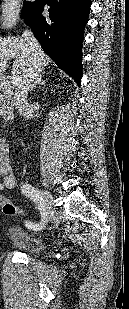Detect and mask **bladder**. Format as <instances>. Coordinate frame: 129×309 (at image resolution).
Wrapping results in <instances>:
<instances>
[{
  "label": "bladder",
  "instance_id": "obj_1",
  "mask_svg": "<svg viewBox=\"0 0 129 309\" xmlns=\"http://www.w3.org/2000/svg\"><path fill=\"white\" fill-rule=\"evenodd\" d=\"M9 243L16 249L33 254L39 253L45 247V241L41 236H36L25 230L20 225H11L7 233Z\"/></svg>",
  "mask_w": 129,
  "mask_h": 309
}]
</instances>
